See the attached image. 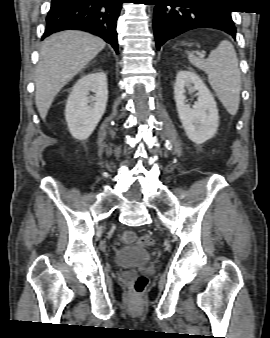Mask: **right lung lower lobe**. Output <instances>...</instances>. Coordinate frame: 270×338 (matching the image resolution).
<instances>
[{
  "label": "right lung lower lobe",
  "instance_id": "1",
  "mask_svg": "<svg viewBox=\"0 0 270 338\" xmlns=\"http://www.w3.org/2000/svg\"><path fill=\"white\" fill-rule=\"evenodd\" d=\"M124 0H52L42 37L68 29L90 32L111 44L118 53L116 21Z\"/></svg>",
  "mask_w": 270,
  "mask_h": 338
}]
</instances>
